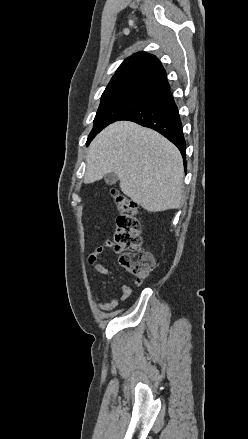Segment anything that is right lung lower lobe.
<instances>
[{
  "mask_svg": "<svg viewBox=\"0 0 248 439\" xmlns=\"http://www.w3.org/2000/svg\"><path fill=\"white\" fill-rule=\"evenodd\" d=\"M120 120L136 122L165 136L180 150L186 167V143L182 132V123L169 88L151 97Z\"/></svg>",
  "mask_w": 248,
  "mask_h": 439,
  "instance_id": "98d812e1",
  "label": "right lung lower lobe"
}]
</instances>
